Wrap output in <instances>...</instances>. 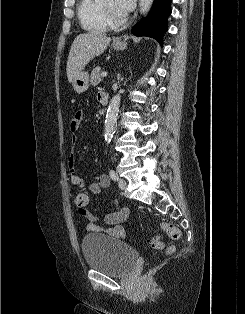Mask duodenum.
Masks as SVG:
<instances>
[{"label": "duodenum", "mask_w": 245, "mask_h": 314, "mask_svg": "<svg viewBox=\"0 0 245 314\" xmlns=\"http://www.w3.org/2000/svg\"><path fill=\"white\" fill-rule=\"evenodd\" d=\"M100 102L103 105H107V103H108V95L106 93L100 94Z\"/></svg>", "instance_id": "1"}]
</instances>
